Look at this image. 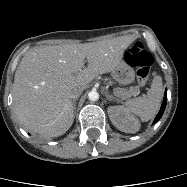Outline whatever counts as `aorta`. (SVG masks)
Segmentation results:
<instances>
[{
    "mask_svg": "<svg viewBox=\"0 0 187 187\" xmlns=\"http://www.w3.org/2000/svg\"><path fill=\"white\" fill-rule=\"evenodd\" d=\"M88 98L91 100V101H96L99 99V93L97 91H90L88 93Z\"/></svg>",
    "mask_w": 187,
    "mask_h": 187,
    "instance_id": "1",
    "label": "aorta"
}]
</instances>
